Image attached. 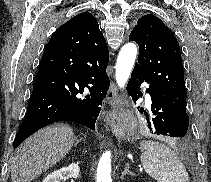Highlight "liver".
<instances>
[{
  "label": "liver",
  "mask_w": 211,
  "mask_h": 182,
  "mask_svg": "<svg viewBox=\"0 0 211 182\" xmlns=\"http://www.w3.org/2000/svg\"><path fill=\"white\" fill-rule=\"evenodd\" d=\"M74 140L73 129L64 124L45 127L26 139L11 159L12 182H31L63 159Z\"/></svg>",
  "instance_id": "1"
}]
</instances>
